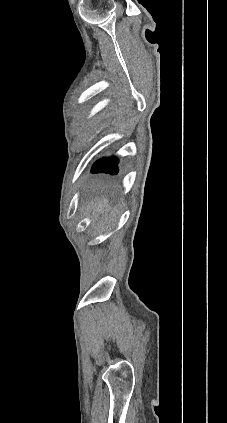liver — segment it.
Wrapping results in <instances>:
<instances>
[{
  "label": "liver",
  "mask_w": 227,
  "mask_h": 423,
  "mask_svg": "<svg viewBox=\"0 0 227 423\" xmlns=\"http://www.w3.org/2000/svg\"><path fill=\"white\" fill-rule=\"evenodd\" d=\"M107 206V200H102V202H99L97 208H98V213H104V210Z\"/></svg>",
  "instance_id": "liver-1"
}]
</instances>
